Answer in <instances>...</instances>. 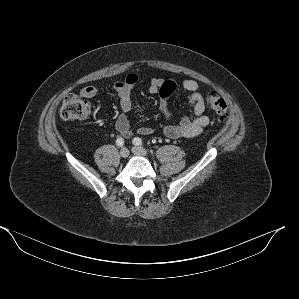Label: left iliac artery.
<instances>
[{
	"label": "left iliac artery",
	"mask_w": 299,
	"mask_h": 299,
	"mask_svg": "<svg viewBox=\"0 0 299 299\" xmlns=\"http://www.w3.org/2000/svg\"><path fill=\"white\" fill-rule=\"evenodd\" d=\"M142 139L141 138H139V137H135L134 139H133V144L134 145H142Z\"/></svg>",
	"instance_id": "44dca946"
}]
</instances>
